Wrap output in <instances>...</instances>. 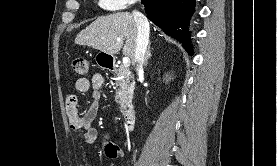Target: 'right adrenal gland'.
<instances>
[{
    "label": "right adrenal gland",
    "instance_id": "2a0ac1e0",
    "mask_svg": "<svg viewBox=\"0 0 277 166\" xmlns=\"http://www.w3.org/2000/svg\"><path fill=\"white\" fill-rule=\"evenodd\" d=\"M151 57V51H150V44L148 46V50H147V53H146V56H145V60H144V66H147L148 64V59Z\"/></svg>",
    "mask_w": 277,
    "mask_h": 166
}]
</instances>
